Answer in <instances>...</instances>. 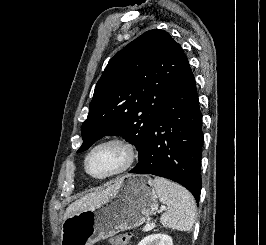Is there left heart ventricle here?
<instances>
[{
	"mask_svg": "<svg viewBox=\"0 0 266 245\" xmlns=\"http://www.w3.org/2000/svg\"><path fill=\"white\" fill-rule=\"evenodd\" d=\"M126 162L125 149L115 143L95 149L87 162V169L94 176H108L119 171Z\"/></svg>",
	"mask_w": 266,
	"mask_h": 245,
	"instance_id": "1",
	"label": "left heart ventricle"
}]
</instances>
